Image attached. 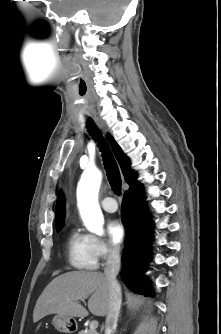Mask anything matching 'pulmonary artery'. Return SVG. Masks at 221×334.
Here are the masks:
<instances>
[{
  "instance_id": "pulmonary-artery-1",
  "label": "pulmonary artery",
  "mask_w": 221,
  "mask_h": 334,
  "mask_svg": "<svg viewBox=\"0 0 221 334\" xmlns=\"http://www.w3.org/2000/svg\"><path fill=\"white\" fill-rule=\"evenodd\" d=\"M101 206L106 212L110 213L115 212L118 209L116 200L111 196L105 197L101 201Z\"/></svg>"
}]
</instances>
